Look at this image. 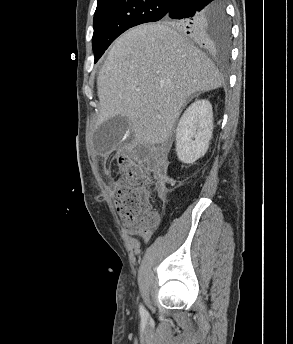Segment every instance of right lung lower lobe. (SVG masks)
<instances>
[{
	"instance_id": "obj_1",
	"label": "right lung lower lobe",
	"mask_w": 293,
	"mask_h": 344,
	"mask_svg": "<svg viewBox=\"0 0 293 344\" xmlns=\"http://www.w3.org/2000/svg\"><path fill=\"white\" fill-rule=\"evenodd\" d=\"M218 0H174L166 18L182 21V30L194 41L207 44L208 27L204 19L217 7Z\"/></svg>"
}]
</instances>
